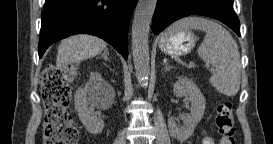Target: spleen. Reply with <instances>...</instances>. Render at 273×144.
Here are the masks:
<instances>
[{
  "label": "spleen",
  "instance_id": "obj_1",
  "mask_svg": "<svg viewBox=\"0 0 273 144\" xmlns=\"http://www.w3.org/2000/svg\"><path fill=\"white\" fill-rule=\"evenodd\" d=\"M195 29L206 33L198 55L215 66L211 84L226 96H235L240 89L241 64L236 41L215 21L202 17H186L174 23L169 32Z\"/></svg>",
  "mask_w": 273,
  "mask_h": 144
}]
</instances>
